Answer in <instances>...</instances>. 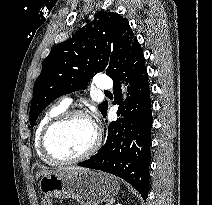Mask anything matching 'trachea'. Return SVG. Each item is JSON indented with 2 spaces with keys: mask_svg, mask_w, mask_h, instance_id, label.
Masks as SVG:
<instances>
[{
  "mask_svg": "<svg viewBox=\"0 0 212 205\" xmlns=\"http://www.w3.org/2000/svg\"><path fill=\"white\" fill-rule=\"evenodd\" d=\"M105 93H110L109 91H105Z\"/></svg>",
  "mask_w": 212,
  "mask_h": 205,
  "instance_id": "obj_1",
  "label": "trachea"
}]
</instances>
